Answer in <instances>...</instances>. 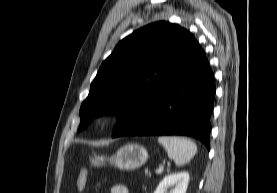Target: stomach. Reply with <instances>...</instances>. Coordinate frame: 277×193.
I'll return each instance as SVG.
<instances>
[{
    "label": "stomach",
    "instance_id": "0dacf381",
    "mask_svg": "<svg viewBox=\"0 0 277 193\" xmlns=\"http://www.w3.org/2000/svg\"><path fill=\"white\" fill-rule=\"evenodd\" d=\"M148 160L146 148L139 144H127L116 152L110 158L95 157L91 158V164L102 166L106 162L119 168L120 170H134L142 166Z\"/></svg>",
    "mask_w": 277,
    "mask_h": 193
}]
</instances>
